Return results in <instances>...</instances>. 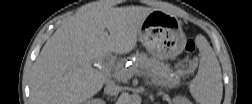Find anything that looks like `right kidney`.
Here are the masks:
<instances>
[{"label": "right kidney", "mask_w": 252, "mask_h": 104, "mask_svg": "<svg viewBox=\"0 0 252 104\" xmlns=\"http://www.w3.org/2000/svg\"><path fill=\"white\" fill-rule=\"evenodd\" d=\"M87 104H105V102L102 99H91Z\"/></svg>", "instance_id": "right-kidney-1"}]
</instances>
